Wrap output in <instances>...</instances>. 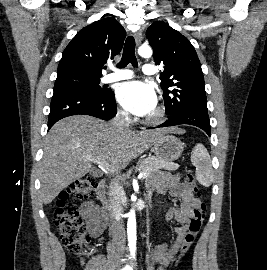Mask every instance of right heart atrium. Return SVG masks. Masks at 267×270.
Instances as JSON below:
<instances>
[{
	"label": "right heart atrium",
	"instance_id": "obj_1",
	"mask_svg": "<svg viewBox=\"0 0 267 270\" xmlns=\"http://www.w3.org/2000/svg\"><path fill=\"white\" fill-rule=\"evenodd\" d=\"M120 113H121V115H123V116H125V115H126V114H125V112H123V111H121Z\"/></svg>",
	"mask_w": 267,
	"mask_h": 270
}]
</instances>
